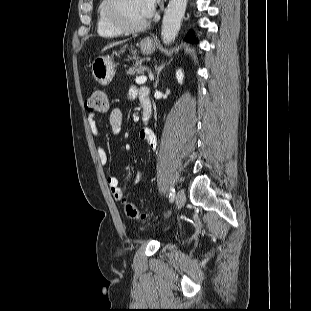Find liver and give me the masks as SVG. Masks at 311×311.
<instances>
[{"label": "liver", "mask_w": 311, "mask_h": 311, "mask_svg": "<svg viewBox=\"0 0 311 311\" xmlns=\"http://www.w3.org/2000/svg\"><path fill=\"white\" fill-rule=\"evenodd\" d=\"M121 43H123V41H118V42L112 43V44L104 47L102 51H105V50H107V49H109V48H111V47H113L115 45L121 44Z\"/></svg>", "instance_id": "6515ba94"}]
</instances>
